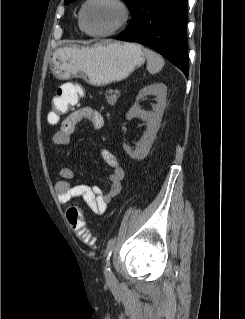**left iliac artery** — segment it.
<instances>
[{
    "mask_svg": "<svg viewBox=\"0 0 245 319\" xmlns=\"http://www.w3.org/2000/svg\"><path fill=\"white\" fill-rule=\"evenodd\" d=\"M115 243H116V238H111L108 243H107V247H106V255H107V260L110 258V256L113 253L114 247H115ZM110 271L109 268H106V273L107 271Z\"/></svg>",
    "mask_w": 245,
    "mask_h": 319,
    "instance_id": "obj_1",
    "label": "left iliac artery"
}]
</instances>
